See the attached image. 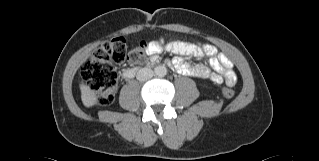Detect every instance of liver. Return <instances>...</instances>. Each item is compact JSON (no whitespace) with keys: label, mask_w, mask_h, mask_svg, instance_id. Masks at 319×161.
I'll list each match as a JSON object with an SVG mask.
<instances>
[{"label":"liver","mask_w":319,"mask_h":161,"mask_svg":"<svg viewBox=\"0 0 319 161\" xmlns=\"http://www.w3.org/2000/svg\"><path fill=\"white\" fill-rule=\"evenodd\" d=\"M81 89V100L86 107H91L95 105L98 101V97L95 92L91 90L87 85L82 84Z\"/></svg>","instance_id":"1"}]
</instances>
